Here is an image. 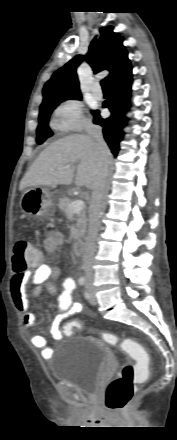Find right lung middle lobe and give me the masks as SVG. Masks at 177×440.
<instances>
[{"instance_id":"right-lung-middle-lobe-1","label":"right lung middle lobe","mask_w":177,"mask_h":440,"mask_svg":"<svg viewBox=\"0 0 177 440\" xmlns=\"http://www.w3.org/2000/svg\"><path fill=\"white\" fill-rule=\"evenodd\" d=\"M70 99H81V96L74 97ZM67 100V99H65ZM62 101L52 102L48 104H41L40 106V113L38 118V127H37V138L36 141L38 144H42L47 138L51 137L53 135V132H51L50 128L48 127L49 117L53 110L58 106Z\"/></svg>"}]
</instances>
